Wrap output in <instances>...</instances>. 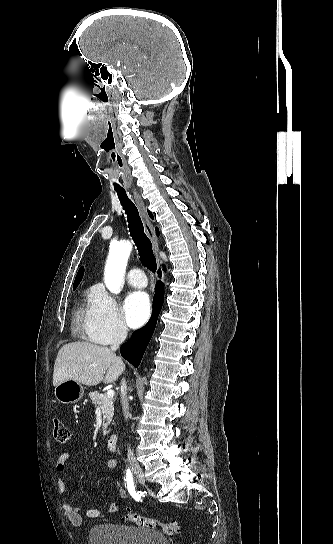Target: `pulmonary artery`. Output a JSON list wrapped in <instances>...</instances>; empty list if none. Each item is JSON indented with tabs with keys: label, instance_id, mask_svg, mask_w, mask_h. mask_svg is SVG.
Instances as JSON below:
<instances>
[{
	"label": "pulmonary artery",
	"instance_id": "pulmonary-artery-1",
	"mask_svg": "<svg viewBox=\"0 0 333 544\" xmlns=\"http://www.w3.org/2000/svg\"><path fill=\"white\" fill-rule=\"evenodd\" d=\"M127 280L135 288H144L147 285L144 272L138 268H133L128 272Z\"/></svg>",
	"mask_w": 333,
	"mask_h": 544
}]
</instances>
